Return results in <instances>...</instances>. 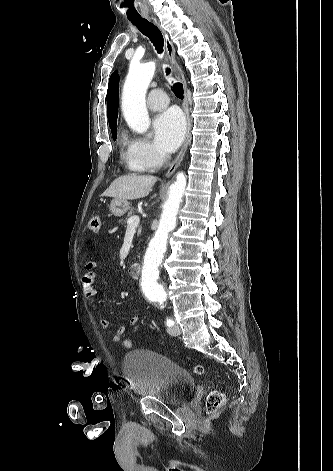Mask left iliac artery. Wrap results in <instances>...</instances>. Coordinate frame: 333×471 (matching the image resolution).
<instances>
[{
  "instance_id": "44dca946",
  "label": "left iliac artery",
  "mask_w": 333,
  "mask_h": 471,
  "mask_svg": "<svg viewBox=\"0 0 333 471\" xmlns=\"http://www.w3.org/2000/svg\"><path fill=\"white\" fill-rule=\"evenodd\" d=\"M166 325H167L168 327H171V326L174 325V321H173L172 319H167Z\"/></svg>"
}]
</instances>
